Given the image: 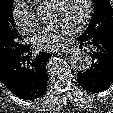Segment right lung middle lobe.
<instances>
[{"mask_svg":"<svg viewBox=\"0 0 113 113\" xmlns=\"http://www.w3.org/2000/svg\"><path fill=\"white\" fill-rule=\"evenodd\" d=\"M13 0H0V69L26 46L14 25Z\"/></svg>","mask_w":113,"mask_h":113,"instance_id":"obj_1","label":"right lung middle lobe"}]
</instances>
